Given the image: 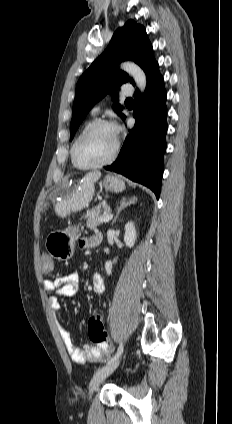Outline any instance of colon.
<instances>
[{
  "label": "colon",
  "instance_id": "obj_1",
  "mask_svg": "<svg viewBox=\"0 0 232 424\" xmlns=\"http://www.w3.org/2000/svg\"><path fill=\"white\" fill-rule=\"evenodd\" d=\"M42 269L45 274H50L54 270V261L46 252H41ZM89 340L94 344H104L107 341V334L104 329L102 317L100 315L91 316L87 324Z\"/></svg>",
  "mask_w": 232,
  "mask_h": 424
}]
</instances>
